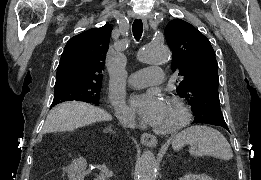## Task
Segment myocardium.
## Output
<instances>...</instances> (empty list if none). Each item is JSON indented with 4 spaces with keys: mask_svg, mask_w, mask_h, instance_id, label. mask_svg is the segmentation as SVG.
Instances as JSON below:
<instances>
[{
    "mask_svg": "<svg viewBox=\"0 0 261 180\" xmlns=\"http://www.w3.org/2000/svg\"><path fill=\"white\" fill-rule=\"evenodd\" d=\"M167 99L179 108V115L175 123L167 129H157L149 125V131L158 138H173L178 136L186 127L190 117L187 102L179 95L170 93Z\"/></svg>",
    "mask_w": 261,
    "mask_h": 180,
    "instance_id": "obj_1",
    "label": "myocardium"
}]
</instances>
